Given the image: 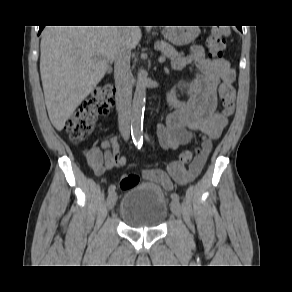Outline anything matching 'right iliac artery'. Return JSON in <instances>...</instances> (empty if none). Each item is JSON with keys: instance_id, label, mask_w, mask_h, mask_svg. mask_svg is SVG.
Wrapping results in <instances>:
<instances>
[{"instance_id": "82829eb1", "label": "right iliac artery", "mask_w": 292, "mask_h": 292, "mask_svg": "<svg viewBox=\"0 0 292 292\" xmlns=\"http://www.w3.org/2000/svg\"><path fill=\"white\" fill-rule=\"evenodd\" d=\"M108 192H109V194L114 192V187L112 185L108 188Z\"/></svg>"}]
</instances>
